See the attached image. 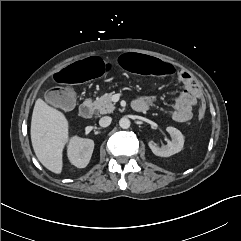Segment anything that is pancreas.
I'll list each match as a JSON object with an SVG mask.
<instances>
[{
  "instance_id": "obj_1",
  "label": "pancreas",
  "mask_w": 241,
  "mask_h": 241,
  "mask_svg": "<svg viewBox=\"0 0 241 241\" xmlns=\"http://www.w3.org/2000/svg\"><path fill=\"white\" fill-rule=\"evenodd\" d=\"M111 97V93H105L100 97L96 98V100L92 103L95 112L102 115L111 113L115 109V106L111 101Z\"/></svg>"
}]
</instances>
